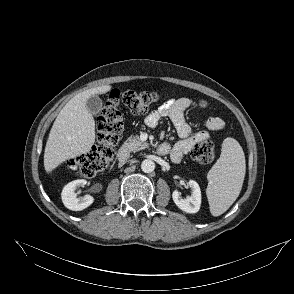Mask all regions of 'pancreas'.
Wrapping results in <instances>:
<instances>
[{
    "label": "pancreas",
    "instance_id": "pancreas-1",
    "mask_svg": "<svg viewBox=\"0 0 294 294\" xmlns=\"http://www.w3.org/2000/svg\"><path fill=\"white\" fill-rule=\"evenodd\" d=\"M148 146V143L141 141L138 136L129 137L123 144V148L129 152H136Z\"/></svg>",
    "mask_w": 294,
    "mask_h": 294
}]
</instances>
